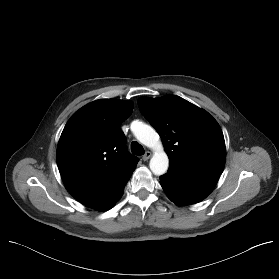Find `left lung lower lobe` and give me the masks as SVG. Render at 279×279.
<instances>
[{
	"mask_svg": "<svg viewBox=\"0 0 279 279\" xmlns=\"http://www.w3.org/2000/svg\"><path fill=\"white\" fill-rule=\"evenodd\" d=\"M219 176L169 166L167 174L160 176V184L174 203L193 204L203 200L213 190Z\"/></svg>",
	"mask_w": 279,
	"mask_h": 279,
	"instance_id": "left-lung-lower-lobe-1",
	"label": "left lung lower lobe"
}]
</instances>
